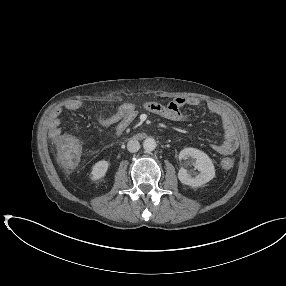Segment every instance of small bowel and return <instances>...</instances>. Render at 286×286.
Segmentation results:
<instances>
[{
    "label": "small bowel",
    "instance_id": "1",
    "mask_svg": "<svg viewBox=\"0 0 286 286\" xmlns=\"http://www.w3.org/2000/svg\"><path fill=\"white\" fill-rule=\"evenodd\" d=\"M200 100L197 98L177 97L172 101L161 104L154 101L145 102L143 107L146 111L162 116L172 121H185L188 116L183 112L186 106H198ZM85 108L84 102L73 100L66 104L65 110L69 112H77ZM209 112L218 116L224 128V138L221 143L211 144L210 147L217 153L230 156L239 146V138L235 128V124L231 114L221 105L217 103H209L207 105ZM62 108H56L50 118V136L56 137L61 133V116ZM138 115L136 106L132 103H124L110 114H98L95 118L96 122L103 127L115 126L114 136L120 137L134 122Z\"/></svg>",
    "mask_w": 286,
    "mask_h": 286
}]
</instances>
